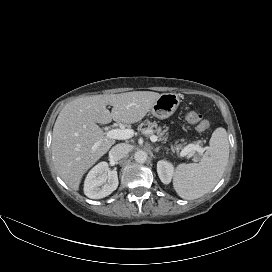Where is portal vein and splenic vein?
<instances>
[{
	"mask_svg": "<svg viewBox=\"0 0 272 272\" xmlns=\"http://www.w3.org/2000/svg\"><path fill=\"white\" fill-rule=\"evenodd\" d=\"M134 135V131L132 129H112L108 132H106V138H110V139H118V140H125V139H129L131 137H133ZM150 140L152 142H156L158 140V137L154 134H152L150 136ZM99 143H95L94 146L92 147L93 150H95L98 147ZM191 151H197L199 153H203L204 149L200 146H196V145H190L189 148L184 149L181 153H180V157H184L186 155H188V153H190ZM192 154H190L191 156Z\"/></svg>",
	"mask_w": 272,
	"mask_h": 272,
	"instance_id": "obj_1",
	"label": "portal vein and splenic vein"
}]
</instances>
